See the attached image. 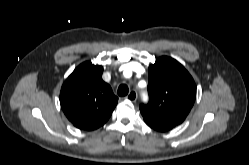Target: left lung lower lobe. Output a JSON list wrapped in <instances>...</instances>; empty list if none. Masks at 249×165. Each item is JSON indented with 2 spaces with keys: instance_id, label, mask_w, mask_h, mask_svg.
Here are the masks:
<instances>
[{
  "instance_id": "obj_1",
  "label": "left lung lower lobe",
  "mask_w": 249,
  "mask_h": 165,
  "mask_svg": "<svg viewBox=\"0 0 249 165\" xmlns=\"http://www.w3.org/2000/svg\"><path fill=\"white\" fill-rule=\"evenodd\" d=\"M146 122V121H145ZM151 128L157 130V131H161V132H165L171 129V127L168 126H164V125H157V124H153V123H149L146 122Z\"/></svg>"
}]
</instances>
